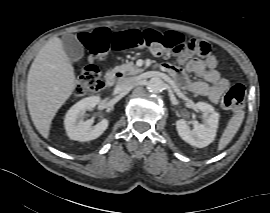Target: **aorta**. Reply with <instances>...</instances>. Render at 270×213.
<instances>
[{"mask_svg": "<svg viewBox=\"0 0 270 213\" xmlns=\"http://www.w3.org/2000/svg\"><path fill=\"white\" fill-rule=\"evenodd\" d=\"M163 88L164 82L159 77H153L147 83V89L152 93H160Z\"/></svg>", "mask_w": 270, "mask_h": 213, "instance_id": "obj_1", "label": "aorta"}]
</instances>
